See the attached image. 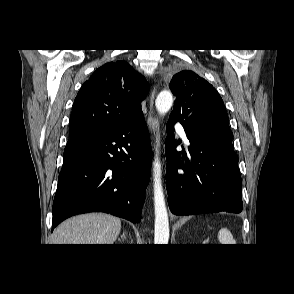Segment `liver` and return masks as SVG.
Here are the masks:
<instances>
[{"label":"liver","instance_id":"liver-1","mask_svg":"<svg viewBox=\"0 0 294 294\" xmlns=\"http://www.w3.org/2000/svg\"><path fill=\"white\" fill-rule=\"evenodd\" d=\"M121 230V220L104 213H89L61 223L52 236L53 244H113Z\"/></svg>","mask_w":294,"mask_h":294}]
</instances>
